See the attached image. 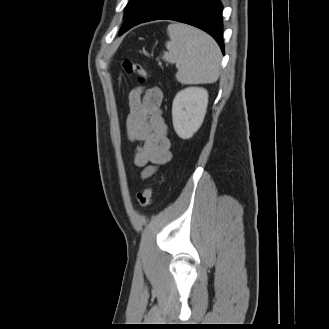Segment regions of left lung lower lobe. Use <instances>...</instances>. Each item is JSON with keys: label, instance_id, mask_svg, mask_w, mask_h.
I'll use <instances>...</instances> for the list:
<instances>
[{"label": "left lung lower lobe", "instance_id": "obj_1", "mask_svg": "<svg viewBox=\"0 0 329 329\" xmlns=\"http://www.w3.org/2000/svg\"><path fill=\"white\" fill-rule=\"evenodd\" d=\"M222 9L220 0H147L124 22L119 35L140 23L174 20L204 30L224 53Z\"/></svg>", "mask_w": 329, "mask_h": 329}]
</instances>
